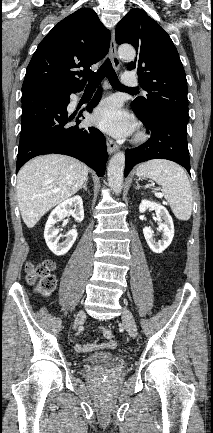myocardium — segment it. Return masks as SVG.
<instances>
[{
	"instance_id": "obj_1",
	"label": "myocardium",
	"mask_w": 213,
	"mask_h": 433,
	"mask_svg": "<svg viewBox=\"0 0 213 433\" xmlns=\"http://www.w3.org/2000/svg\"><path fill=\"white\" fill-rule=\"evenodd\" d=\"M146 139V136L144 133L139 132L136 136H135V141L136 142H142Z\"/></svg>"
}]
</instances>
